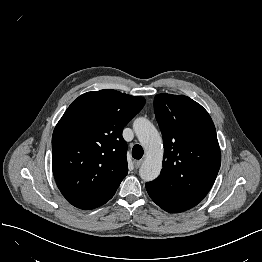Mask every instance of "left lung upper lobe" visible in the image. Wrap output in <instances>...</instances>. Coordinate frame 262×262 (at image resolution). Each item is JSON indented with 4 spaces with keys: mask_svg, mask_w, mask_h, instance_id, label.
<instances>
[{
    "mask_svg": "<svg viewBox=\"0 0 262 262\" xmlns=\"http://www.w3.org/2000/svg\"><path fill=\"white\" fill-rule=\"evenodd\" d=\"M154 110L164 141L163 169L146 189L163 210L183 212L207 195L218 174L215 126L208 112L184 95L158 94Z\"/></svg>",
    "mask_w": 262,
    "mask_h": 262,
    "instance_id": "1",
    "label": "left lung upper lobe"
}]
</instances>
